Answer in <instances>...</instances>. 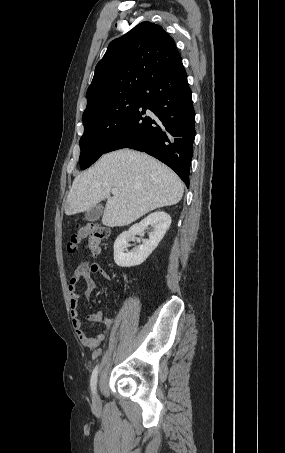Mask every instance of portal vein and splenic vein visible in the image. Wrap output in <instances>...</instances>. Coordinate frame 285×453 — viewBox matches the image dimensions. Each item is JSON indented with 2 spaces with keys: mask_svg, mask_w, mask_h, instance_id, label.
Masks as SVG:
<instances>
[{
  "mask_svg": "<svg viewBox=\"0 0 285 453\" xmlns=\"http://www.w3.org/2000/svg\"><path fill=\"white\" fill-rule=\"evenodd\" d=\"M111 192H112V194H117V193H118V189H117V188H113V189L111 190Z\"/></svg>",
  "mask_w": 285,
  "mask_h": 453,
  "instance_id": "18ae733b",
  "label": "portal vein and splenic vein"
}]
</instances>
